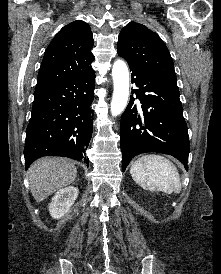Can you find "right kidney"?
Returning <instances> with one entry per match:
<instances>
[{"label": "right kidney", "mask_w": 221, "mask_h": 274, "mask_svg": "<svg viewBox=\"0 0 221 274\" xmlns=\"http://www.w3.org/2000/svg\"><path fill=\"white\" fill-rule=\"evenodd\" d=\"M79 190L74 186L60 189L49 204V213L54 219L64 216L77 199Z\"/></svg>", "instance_id": "ca27d5eb"}]
</instances>
